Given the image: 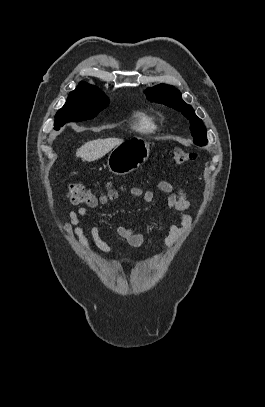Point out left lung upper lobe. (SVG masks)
Instances as JSON below:
<instances>
[{
    "label": "left lung upper lobe",
    "mask_w": 265,
    "mask_h": 407,
    "mask_svg": "<svg viewBox=\"0 0 265 407\" xmlns=\"http://www.w3.org/2000/svg\"><path fill=\"white\" fill-rule=\"evenodd\" d=\"M145 93L149 100L163 103L181 112L190 121V130L194 137V143L199 146L206 145V128L202 120L195 115L193 108L182 100L179 90L173 86L160 84L147 89Z\"/></svg>",
    "instance_id": "obj_1"
}]
</instances>
